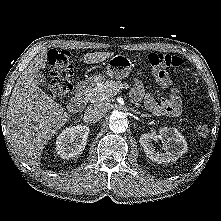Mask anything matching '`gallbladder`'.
I'll use <instances>...</instances> for the list:
<instances>
[{
  "label": "gallbladder",
  "instance_id": "1",
  "mask_svg": "<svg viewBox=\"0 0 221 221\" xmlns=\"http://www.w3.org/2000/svg\"><path fill=\"white\" fill-rule=\"evenodd\" d=\"M35 80L36 83L42 87H46L47 86V80L46 77L44 76V74L42 72H38L35 75Z\"/></svg>",
  "mask_w": 221,
  "mask_h": 221
}]
</instances>
